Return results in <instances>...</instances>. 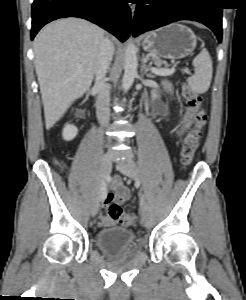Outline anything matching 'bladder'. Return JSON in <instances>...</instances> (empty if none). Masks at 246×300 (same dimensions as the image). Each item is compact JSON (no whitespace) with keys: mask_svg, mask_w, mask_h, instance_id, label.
<instances>
[{"mask_svg":"<svg viewBox=\"0 0 246 300\" xmlns=\"http://www.w3.org/2000/svg\"><path fill=\"white\" fill-rule=\"evenodd\" d=\"M95 238L97 247L113 260L124 261L140 251L135 233L127 228H105L98 231Z\"/></svg>","mask_w":246,"mask_h":300,"instance_id":"31cf9c89","label":"bladder"}]
</instances>
